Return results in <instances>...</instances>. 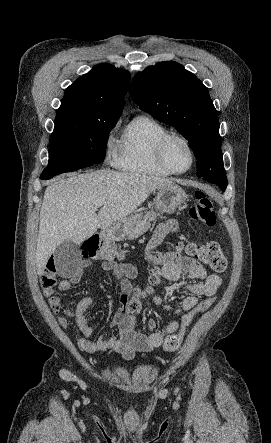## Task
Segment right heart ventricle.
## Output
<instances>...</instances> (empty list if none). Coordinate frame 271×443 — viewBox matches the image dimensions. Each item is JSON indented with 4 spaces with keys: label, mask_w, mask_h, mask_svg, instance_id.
<instances>
[{
    "label": "right heart ventricle",
    "mask_w": 271,
    "mask_h": 443,
    "mask_svg": "<svg viewBox=\"0 0 271 443\" xmlns=\"http://www.w3.org/2000/svg\"><path fill=\"white\" fill-rule=\"evenodd\" d=\"M167 132L166 126L149 114L134 116L124 129L116 166L139 174L158 177L171 175L156 156V144Z\"/></svg>",
    "instance_id": "obj_1"
}]
</instances>
